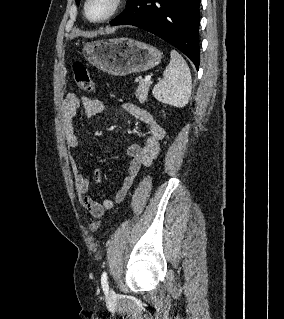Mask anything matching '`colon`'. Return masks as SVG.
Masks as SVG:
<instances>
[{
  "label": "colon",
  "mask_w": 284,
  "mask_h": 319,
  "mask_svg": "<svg viewBox=\"0 0 284 319\" xmlns=\"http://www.w3.org/2000/svg\"><path fill=\"white\" fill-rule=\"evenodd\" d=\"M74 83L80 90L91 92L94 88L93 81L89 75L88 69L82 62H74L72 65ZM101 225L100 221H93L89 229L96 232Z\"/></svg>",
  "instance_id": "1"
}]
</instances>
